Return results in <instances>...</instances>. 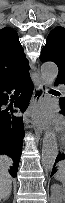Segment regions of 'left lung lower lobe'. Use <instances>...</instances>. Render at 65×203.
I'll use <instances>...</instances> for the list:
<instances>
[{
  "label": "left lung lower lobe",
  "mask_w": 65,
  "mask_h": 203,
  "mask_svg": "<svg viewBox=\"0 0 65 203\" xmlns=\"http://www.w3.org/2000/svg\"><path fill=\"white\" fill-rule=\"evenodd\" d=\"M56 83H63L65 84V79L63 78H57ZM62 101H64V99H61ZM60 106H61V114L65 115V102H60ZM65 161V151L63 153L59 152V155L57 156L55 163L59 162V161ZM56 168H53L51 176L56 173Z\"/></svg>",
  "instance_id": "obj_1"
}]
</instances>
